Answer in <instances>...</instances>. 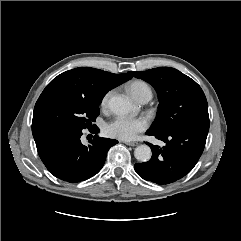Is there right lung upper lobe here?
I'll list each match as a JSON object with an SVG mask.
<instances>
[{"instance_id": "cb5924a9", "label": "right lung upper lobe", "mask_w": 241, "mask_h": 241, "mask_svg": "<svg viewBox=\"0 0 241 241\" xmlns=\"http://www.w3.org/2000/svg\"><path fill=\"white\" fill-rule=\"evenodd\" d=\"M129 74H113L103 70L80 67L55 77L44 89H65L83 96H103L111 89L131 79Z\"/></svg>"}]
</instances>
